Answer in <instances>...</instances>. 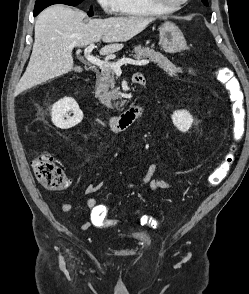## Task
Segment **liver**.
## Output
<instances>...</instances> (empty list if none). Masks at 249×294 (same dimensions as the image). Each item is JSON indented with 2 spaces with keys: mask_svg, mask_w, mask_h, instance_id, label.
<instances>
[{
  "mask_svg": "<svg viewBox=\"0 0 249 294\" xmlns=\"http://www.w3.org/2000/svg\"><path fill=\"white\" fill-rule=\"evenodd\" d=\"M85 17L84 12L64 5L50 6L38 15L32 54L17 84V95L70 72L73 69V48L102 39L109 44L100 50V54H112L152 22L149 18L131 16L91 19L84 23Z\"/></svg>",
  "mask_w": 249,
  "mask_h": 294,
  "instance_id": "liver-1",
  "label": "liver"
}]
</instances>
